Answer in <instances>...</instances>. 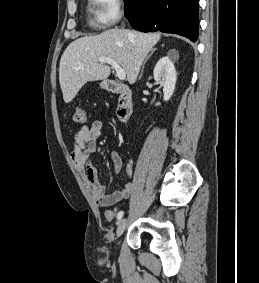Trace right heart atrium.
<instances>
[{
	"label": "right heart atrium",
	"mask_w": 259,
	"mask_h": 283,
	"mask_svg": "<svg viewBox=\"0 0 259 283\" xmlns=\"http://www.w3.org/2000/svg\"><path fill=\"white\" fill-rule=\"evenodd\" d=\"M95 6V18L103 28L117 23L125 12L124 0H92Z\"/></svg>",
	"instance_id": "1"
}]
</instances>
